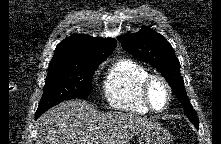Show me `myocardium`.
I'll return each mask as SVG.
<instances>
[{
    "instance_id": "obj_1",
    "label": "myocardium",
    "mask_w": 221,
    "mask_h": 144,
    "mask_svg": "<svg viewBox=\"0 0 221 144\" xmlns=\"http://www.w3.org/2000/svg\"><path fill=\"white\" fill-rule=\"evenodd\" d=\"M154 81H159L161 82L166 91H167V102L166 105L161 108V109H156L150 100V87L151 84ZM140 91H141V98L142 101L144 103V105L151 111V112H155V113H161L164 112L165 110L168 109V107L170 106V103L172 101V89L171 86L169 84V82L162 76L159 74H149L141 83V87H140Z\"/></svg>"
}]
</instances>
